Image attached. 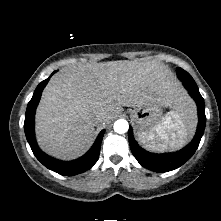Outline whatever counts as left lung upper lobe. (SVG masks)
<instances>
[{
	"instance_id": "1",
	"label": "left lung upper lobe",
	"mask_w": 221,
	"mask_h": 221,
	"mask_svg": "<svg viewBox=\"0 0 221 221\" xmlns=\"http://www.w3.org/2000/svg\"><path fill=\"white\" fill-rule=\"evenodd\" d=\"M177 74L182 81L183 80L194 81L191 75L181 68H177Z\"/></svg>"
}]
</instances>
